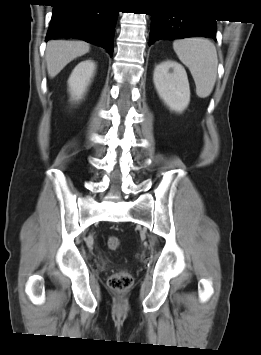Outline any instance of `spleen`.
Wrapping results in <instances>:
<instances>
[{
	"label": "spleen",
	"mask_w": 261,
	"mask_h": 355,
	"mask_svg": "<svg viewBox=\"0 0 261 355\" xmlns=\"http://www.w3.org/2000/svg\"><path fill=\"white\" fill-rule=\"evenodd\" d=\"M173 49L180 61L189 68L197 96L208 97L217 78L218 57L214 44L204 38H188L174 41Z\"/></svg>",
	"instance_id": "spleen-1"
}]
</instances>
